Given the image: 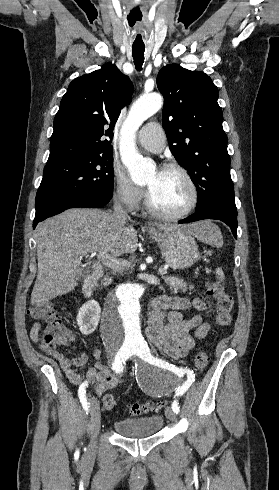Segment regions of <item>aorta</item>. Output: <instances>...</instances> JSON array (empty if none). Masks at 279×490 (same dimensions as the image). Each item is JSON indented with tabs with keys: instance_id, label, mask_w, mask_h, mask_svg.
Here are the masks:
<instances>
[{
	"instance_id": "1",
	"label": "aorta",
	"mask_w": 279,
	"mask_h": 490,
	"mask_svg": "<svg viewBox=\"0 0 279 490\" xmlns=\"http://www.w3.org/2000/svg\"><path fill=\"white\" fill-rule=\"evenodd\" d=\"M163 98L152 93L138 99L131 107L121 128L120 154L131 179L143 183L154 173L153 162L141 156L134 138L142 123L161 109ZM144 288L140 284L120 285L109 295L103 312L102 337L107 347L115 352H127L144 342L140 298Z\"/></svg>"
}]
</instances>
